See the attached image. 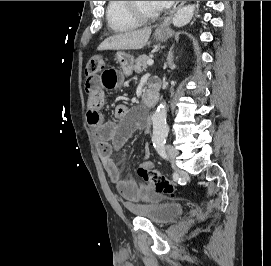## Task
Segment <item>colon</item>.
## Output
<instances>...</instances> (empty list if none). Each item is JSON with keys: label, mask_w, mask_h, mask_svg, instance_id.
<instances>
[{"label": "colon", "mask_w": 271, "mask_h": 266, "mask_svg": "<svg viewBox=\"0 0 271 266\" xmlns=\"http://www.w3.org/2000/svg\"><path fill=\"white\" fill-rule=\"evenodd\" d=\"M104 66L105 61L103 57L100 55H93L87 63L85 70L86 75H96L104 68ZM138 174L143 180L150 183L156 192L169 196L175 195V189L169 179L155 169L141 166L138 169Z\"/></svg>", "instance_id": "1"}]
</instances>
